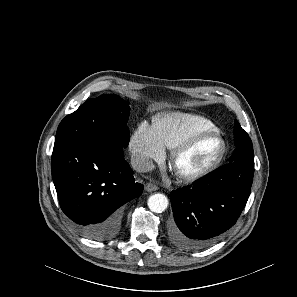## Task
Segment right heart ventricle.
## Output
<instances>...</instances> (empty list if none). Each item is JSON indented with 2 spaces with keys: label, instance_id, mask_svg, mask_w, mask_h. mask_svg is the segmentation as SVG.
<instances>
[{
  "label": "right heart ventricle",
  "instance_id": "right-heart-ventricle-1",
  "mask_svg": "<svg viewBox=\"0 0 297 297\" xmlns=\"http://www.w3.org/2000/svg\"><path fill=\"white\" fill-rule=\"evenodd\" d=\"M153 128L161 144L168 149H174L193 133L216 129V126L199 115L169 112L158 116L154 120Z\"/></svg>",
  "mask_w": 297,
  "mask_h": 297
}]
</instances>
